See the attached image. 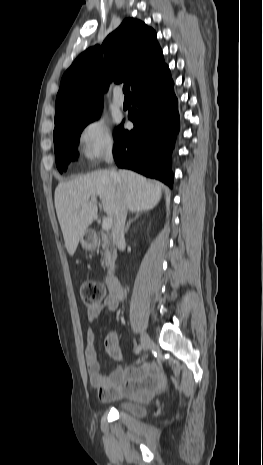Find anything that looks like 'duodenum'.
Listing matches in <instances>:
<instances>
[{"label": "duodenum", "instance_id": "410a0bca", "mask_svg": "<svg viewBox=\"0 0 263 465\" xmlns=\"http://www.w3.org/2000/svg\"><path fill=\"white\" fill-rule=\"evenodd\" d=\"M107 284L110 289V292L118 298H121L122 296V288L120 281L116 275L113 273H110L108 278H107Z\"/></svg>", "mask_w": 263, "mask_h": 465}]
</instances>
